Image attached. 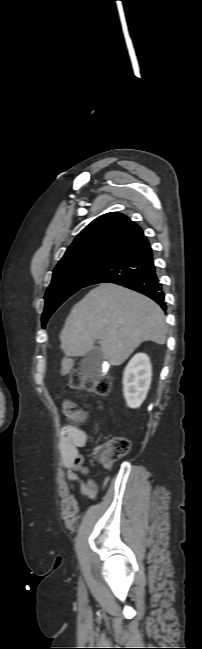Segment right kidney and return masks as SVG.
<instances>
[{"mask_svg":"<svg viewBox=\"0 0 202 649\" xmlns=\"http://www.w3.org/2000/svg\"><path fill=\"white\" fill-rule=\"evenodd\" d=\"M152 369L149 357L144 353L133 356L123 374V393L130 408H138L150 388Z\"/></svg>","mask_w":202,"mask_h":649,"instance_id":"obj_1","label":"right kidney"}]
</instances>
